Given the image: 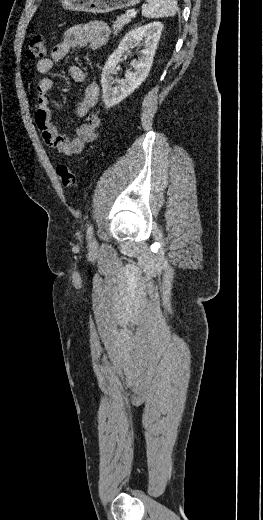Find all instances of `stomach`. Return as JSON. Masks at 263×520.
Returning <instances> with one entry per match:
<instances>
[{
    "instance_id": "1",
    "label": "stomach",
    "mask_w": 263,
    "mask_h": 520,
    "mask_svg": "<svg viewBox=\"0 0 263 520\" xmlns=\"http://www.w3.org/2000/svg\"><path fill=\"white\" fill-rule=\"evenodd\" d=\"M66 10L89 13H108L118 9L132 7L141 0H59Z\"/></svg>"
}]
</instances>
